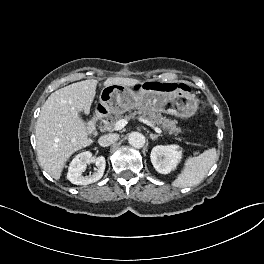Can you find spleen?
Masks as SVG:
<instances>
[{
    "label": "spleen",
    "instance_id": "obj_1",
    "mask_svg": "<svg viewBox=\"0 0 264 264\" xmlns=\"http://www.w3.org/2000/svg\"><path fill=\"white\" fill-rule=\"evenodd\" d=\"M217 160L215 148L205 150L196 157H189L184 162L181 173L172 182L174 187L185 188L199 184Z\"/></svg>",
    "mask_w": 264,
    "mask_h": 264
}]
</instances>
